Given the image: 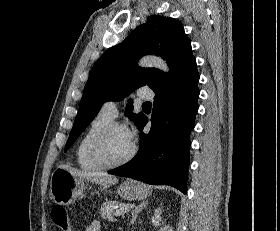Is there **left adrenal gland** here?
Segmentation results:
<instances>
[{
	"label": "left adrenal gland",
	"instance_id": "a2214340",
	"mask_svg": "<svg viewBox=\"0 0 280 231\" xmlns=\"http://www.w3.org/2000/svg\"><path fill=\"white\" fill-rule=\"evenodd\" d=\"M147 203H148V199H147V201H142V203H139V205H136V207H134V209L131 213V219H130L129 225H133L134 221H136V219H137L138 213H140V211H142V209H144V207H146Z\"/></svg>",
	"mask_w": 280,
	"mask_h": 231
}]
</instances>
